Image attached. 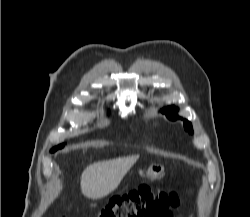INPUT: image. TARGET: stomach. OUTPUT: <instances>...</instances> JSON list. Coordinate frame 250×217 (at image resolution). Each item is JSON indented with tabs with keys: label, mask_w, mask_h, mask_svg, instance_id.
<instances>
[{
	"label": "stomach",
	"mask_w": 250,
	"mask_h": 217,
	"mask_svg": "<svg viewBox=\"0 0 250 217\" xmlns=\"http://www.w3.org/2000/svg\"><path fill=\"white\" fill-rule=\"evenodd\" d=\"M162 174L163 167L155 164L151 165L146 172V175L153 179L160 177Z\"/></svg>",
	"instance_id": "1"
}]
</instances>
